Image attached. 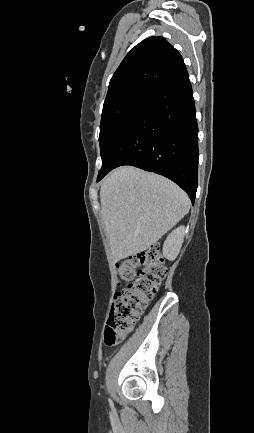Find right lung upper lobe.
I'll list each match as a JSON object with an SVG mask.
<instances>
[{"label": "right lung upper lobe", "instance_id": "obj_1", "mask_svg": "<svg viewBox=\"0 0 254 433\" xmlns=\"http://www.w3.org/2000/svg\"><path fill=\"white\" fill-rule=\"evenodd\" d=\"M185 70L180 53L164 37L147 38L136 45L117 68L103 108L129 99L148 100Z\"/></svg>", "mask_w": 254, "mask_h": 433}]
</instances>
